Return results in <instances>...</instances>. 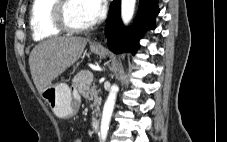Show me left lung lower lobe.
<instances>
[{
    "label": "left lung lower lobe",
    "mask_w": 227,
    "mask_h": 142,
    "mask_svg": "<svg viewBox=\"0 0 227 142\" xmlns=\"http://www.w3.org/2000/svg\"><path fill=\"white\" fill-rule=\"evenodd\" d=\"M121 0H114L109 8L105 33L109 49L115 53L124 51L136 53L139 39L144 30L155 28V17L159 13L158 0H140L139 11L132 28L127 29L121 21Z\"/></svg>",
    "instance_id": "left-lung-lower-lobe-1"
}]
</instances>
